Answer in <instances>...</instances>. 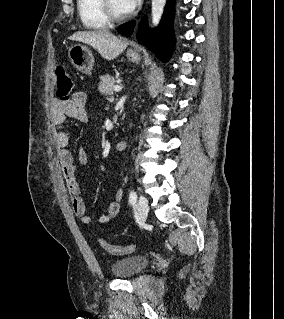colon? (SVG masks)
Returning <instances> with one entry per match:
<instances>
[{
	"mask_svg": "<svg viewBox=\"0 0 284 319\" xmlns=\"http://www.w3.org/2000/svg\"><path fill=\"white\" fill-rule=\"evenodd\" d=\"M73 88L71 74L66 65L61 64L56 68V95L59 101L67 102L70 99ZM100 246L112 255H124L131 253L135 249L134 244L125 246H114L104 240H99Z\"/></svg>",
	"mask_w": 284,
	"mask_h": 319,
	"instance_id": "colon-1",
	"label": "colon"
}]
</instances>
